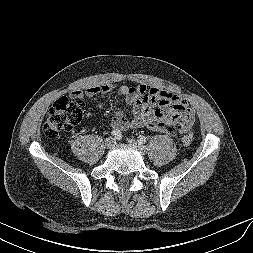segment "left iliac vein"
Here are the masks:
<instances>
[{"mask_svg": "<svg viewBox=\"0 0 253 253\" xmlns=\"http://www.w3.org/2000/svg\"><path fill=\"white\" fill-rule=\"evenodd\" d=\"M128 144L132 147L140 151L141 154L146 153V148L142 146L139 142L135 141L134 139H128Z\"/></svg>", "mask_w": 253, "mask_h": 253, "instance_id": "left-iliac-vein-1", "label": "left iliac vein"}]
</instances>
